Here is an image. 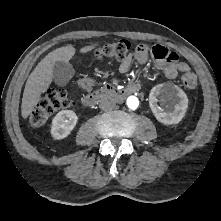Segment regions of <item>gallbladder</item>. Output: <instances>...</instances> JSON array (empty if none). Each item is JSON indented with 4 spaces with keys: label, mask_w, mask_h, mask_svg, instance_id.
I'll return each mask as SVG.
<instances>
[{
    "label": "gallbladder",
    "mask_w": 221,
    "mask_h": 221,
    "mask_svg": "<svg viewBox=\"0 0 221 221\" xmlns=\"http://www.w3.org/2000/svg\"><path fill=\"white\" fill-rule=\"evenodd\" d=\"M74 73L73 66L69 62H55L53 67V79L57 85H66L71 80Z\"/></svg>",
    "instance_id": "gallbladder-1"
}]
</instances>
